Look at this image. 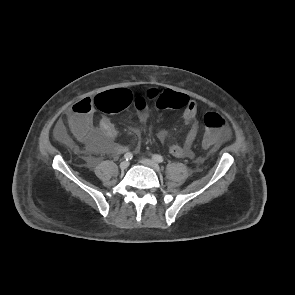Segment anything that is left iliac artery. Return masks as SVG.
I'll list each match as a JSON object with an SVG mask.
<instances>
[{
  "instance_id": "44dca946",
  "label": "left iliac artery",
  "mask_w": 295,
  "mask_h": 295,
  "mask_svg": "<svg viewBox=\"0 0 295 295\" xmlns=\"http://www.w3.org/2000/svg\"><path fill=\"white\" fill-rule=\"evenodd\" d=\"M152 159L158 163H162L164 162V159L161 155L155 154L152 156Z\"/></svg>"
}]
</instances>
